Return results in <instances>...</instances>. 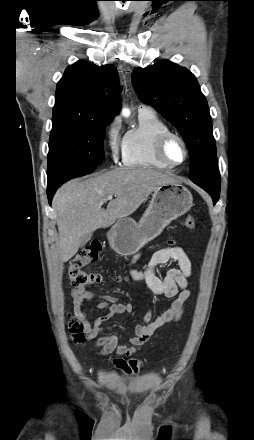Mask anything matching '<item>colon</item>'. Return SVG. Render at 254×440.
Segmentation results:
<instances>
[{
    "instance_id": "1",
    "label": "colon",
    "mask_w": 254,
    "mask_h": 440,
    "mask_svg": "<svg viewBox=\"0 0 254 440\" xmlns=\"http://www.w3.org/2000/svg\"><path fill=\"white\" fill-rule=\"evenodd\" d=\"M195 218L193 215H187L183 219V226L187 229L195 227ZM102 252V245L99 242H92L78 251L73 257L69 267V280L73 286L88 287L98 284L101 281V275L95 272H88L84 268L97 261ZM68 331L75 345H81L85 341V326L81 318L72 316L68 321ZM130 365V364H129ZM130 365V368L133 369Z\"/></svg>"
}]
</instances>
